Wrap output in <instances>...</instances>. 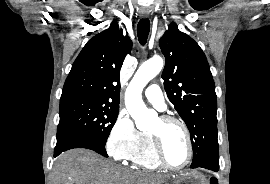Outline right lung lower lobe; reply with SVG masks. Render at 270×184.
Here are the masks:
<instances>
[{
  "label": "right lung lower lobe",
  "mask_w": 270,
  "mask_h": 184,
  "mask_svg": "<svg viewBox=\"0 0 270 184\" xmlns=\"http://www.w3.org/2000/svg\"><path fill=\"white\" fill-rule=\"evenodd\" d=\"M73 148L90 149L103 155L104 157H108L105 146H102L90 138L82 136H67L61 139H57V144L54 150V157L58 156L63 151Z\"/></svg>",
  "instance_id": "1"
}]
</instances>
